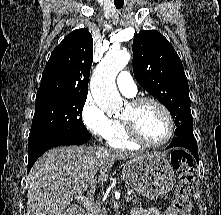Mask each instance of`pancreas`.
Here are the masks:
<instances>
[{"label": "pancreas", "mask_w": 221, "mask_h": 215, "mask_svg": "<svg viewBox=\"0 0 221 215\" xmlns=\"http://www.w3.org/2000/svg\"><path fill=\"white\" fill-rule=\"evenodd\" d=\"M130 199L133 201L135 205L141 204V198L138 197V195L135 192H132L130 195ZM105 212L98 211V210H89V213L87 215H104Z\"/></svg>", "instance_id": "pancreas-1"}]
</instances>
